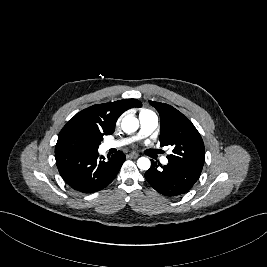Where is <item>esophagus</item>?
Wrapping results in <instances>:
<instances>
[{"label": "esophagus", "mask_w": 267, "mask_h": 267, "mask_svg": "<svg viewBox=\"0 0 267 267\" xmlns=\"http://www.w3.org/2000/svg\"><path fill=\"white\" fill-rule=\"evenodd\" d=\"M130 157L131 158H138L139 157V154L136 153V152H132V153H130Z\"/></svg>", "instance_id": "obj_1"}]
</instances>
